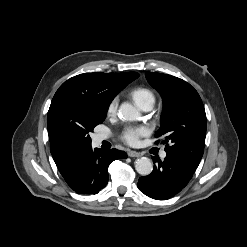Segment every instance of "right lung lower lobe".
<instances>
[{
  "label": "right lung lower lobe",
  "mask_w": 247,
  "mask_h": 247,
  "mask_svg": "<svg viewBox=\"0 0 247 247\" xmlns=\"http://www.w3.org/2000/svg\"><path fill=\"white\" fill-rule=\"evenodd\" d=\"M117 149L108 151L91 146L74 152L64 163L57 166L67 184L76 193L97 194L108 182V167L113 160L126 158Z\"/></svg>",
  "instance_id": "obj_1"
}]
</instances>
